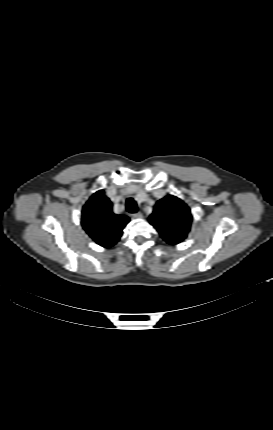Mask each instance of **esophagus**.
Returning <instances> with one entry per match:
<instances>
[{"label":"esophagus","mask_w":273,"mask_h":430,"mask_svg":"<svg viewBox=\"0 0 273 430\" xmlns=\"http://www.w3.org/2000/svg\"><path fill=\"white\" fill-rule=\"evenodd\" d=\"M131 216L133 218L140 219L143 217V214L141 212H137V213L132 214Z\"/></svg>","instance_id":"obj_1"}]
</instances>
